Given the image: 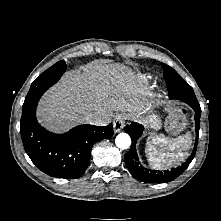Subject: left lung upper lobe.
Returning a JSON list of instances; mask_svg holds the SVG:
<instances>
[{"mask_svg":"<svg viewBox=\"0 0 221 221\" xmlns=\"http://www.w3.org/2000/svg\"><path fill=\"white\" fill-rule=\"evenodd\" d=\"M161 66H162L163 71H164V78H165V81L167 83V87L172 85L177 80L182 79L180 77V75L173 68H171L170 66H168L164 63H161Z\"/></svg>","mask_w":221,"mask_h":221,"instance_id":"obj_1","label":"left lung upper lobe"}]
</instances>
